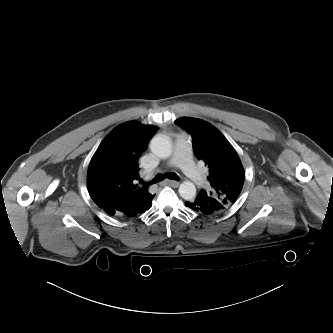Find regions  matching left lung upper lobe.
<instances>
[{
    "label": "left lung upper lobe",
    "instance_id": "obj_1",
    "mask_svg": "<svg viewBox=\"0 0 333 333\" xmlns=\"http://www.w3.org/2000/svg\"><path fill=\"white\" fill-rule=\"evenodd\" d=\"M175 123L192 136L195 156L209 167L208 196L217 199L223 211L228 210L241 193L245 173L238 154L228 140L210 123L181 117ZM222 211V212H223Z\"/></svg>",
    "mask_w": 333,
    "mask_h": 333
}]
</instances>
